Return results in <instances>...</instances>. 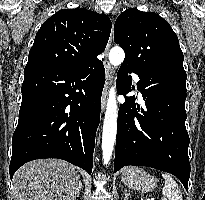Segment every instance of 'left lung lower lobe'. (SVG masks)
Masks as SVG:
<instances>
[{"mask_svg":"<svg viewBox=\"0 0 205 200\" xmlns=\"http://www.w3.org/2000/svg\"><path fill=\"white\" fill-rule=\"evenodd\" d=\"M120 67L118 94L131 91L132 78ZM140 81L144 107L136 106L135 97H125L118 112L114 172L127 165L153 167L175 175L188 191L190 163L189 136L185 127L186 72L169 67L134 72Z\"/></svg>","mask_w":205,"mask_h":200,"instance_id":"obj_1","label":"left lung lower lobe"}]
</instances>
